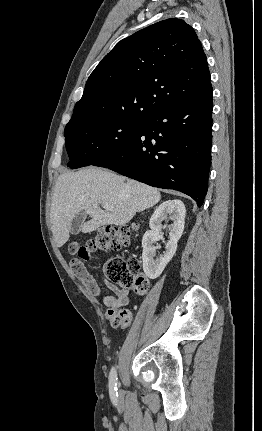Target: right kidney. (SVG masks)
<instances>
[{
  "label": "right kidney",
  "instance_id": "right-kidney-1",
  "mask_svg": "<svg viewBox=\"0 0 262 431\" xmlns=\"http://www.w3.org/2000/svg\"><path fill=\"white\" fill-rule=\"evenodd\" d=\"M185 205L181 200H167L160 204L154 213L152 214L149 226L150 229L147 231L142 239V260H143V270L150 279H156L161 275L166 265L175 255L177 250L178 240L181 238L184 223H185ZM171 218L173 224L169 232L170 240L165 245L166 253L163 257L154 259L155 257V247L153 243L160 240L162 221Z\"/></svg>",
  "mask_w": 262,
  "mask_h": 431
}]
</instances>
